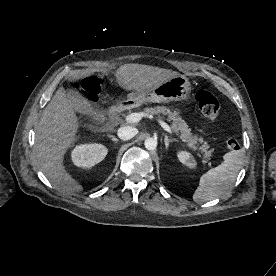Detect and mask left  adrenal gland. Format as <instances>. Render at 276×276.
<instances>
[{
	"label": "left adrenal gland",
	"mask_w": 276,
	"mask_h": 276,
	"mask_svg": "<svg viewBox=\"0 0 276 276\" xmlns=\"http://www.w3.org/2000/svg\"><path fill=\"white\" fill-rule=\"evenodd\" d=\"M175 141H177V140L176 139H169L168 136L165 135L164 142H165L166 149L169 148L170 143L175 142Z\"/></svg>",
	"instance_id": "obj_1"
}]
</instances>
